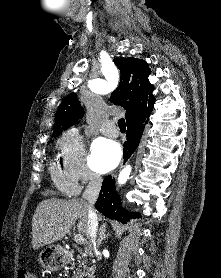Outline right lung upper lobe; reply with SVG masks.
<instances>
[{
	"instance_id": "right-lung-upper-lobe-1",
	"label": "right lung upper lobe",
	"mask_w": 221,
	"mask_h": 278,
	"mask_svg": "<svg viewBox=\"0 0 221 278\" xmlns=\"http://www.w3.org/2000/svg\"><path fill=\"white\" fill-rule=\"evenodd\" d=\"M115 65L120 70L119 86L111 94V102L126 110L127 124L149 117L153 109V85L148 81L151 73L147 63L136 58H115ZM84 115L75 93L66 96L58 107L53 137L74 125Z\"/></svg>"
}]
</instances>
